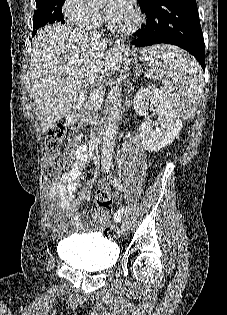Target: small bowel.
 Listing matches in <instances>:
<instances>
[{
  "mask_svg": "<svg viewBox=\"0 0 227 315\" xmlns=\"http://www.w3.org/2000/svg\"><path fill=\"white\" fill-rule=\"evenodd\" d=\"M87 146L79 145L74 150L75 160L71 170L62 175L59 181L51 184L47 188V194L51 201L48 216L50 227L59 232L66 220H70L76 227L81 225V214L86 210L79 209V205L87 199V196L80 194L76 191V185L87 163ZM114 186H117L116 182H113ZM102 187H107L106 183H101ZM124 210L123 206H120L115 211L113 219L119 221L121 213ZM101 228L105 227L99 223Z\"/></svg>",
  "mask_w": 227,
  "mask_h": 315,
  "instance_id": "obj_1",
  "label": "small bowel"
}]
</instances>
